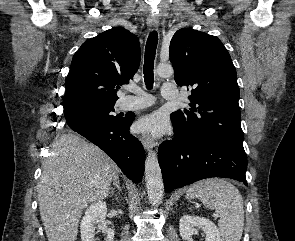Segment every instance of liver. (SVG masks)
Wrapping results in <instances>:
<instances>
[{
	"label": "liver",
	"instance_id": "obj_1",
	"mask_svg": "<svg viewBox=\"0 0 295 241\" xmlns=\"http://www.w3.org/2000/svg\"><path fill=\"white\" fill-rule=\"evenodd\" d=\"M118 172L101 149L80 136L68 133L56 140L37 186L48 241H76L83 209L108 196Z\"/></svg>",
	"mask_w": 295,
	"mask_h": 241
}]
</instances>
